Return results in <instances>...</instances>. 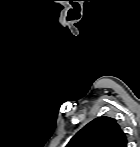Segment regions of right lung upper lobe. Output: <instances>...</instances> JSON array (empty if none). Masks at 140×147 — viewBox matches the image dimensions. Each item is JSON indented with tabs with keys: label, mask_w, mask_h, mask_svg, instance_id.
Wrapping results in <instances>:
<instances>
[{
	"label": "right lung upper lobe",
	"mask_w": 140,
	"mask_h": 147,
	"mask_svg": "<svg viewBox=\"0 0 140 147\" xmlns=\"http://www.w3.org/2000/svg\"><path fill=\"white\" fill-rule=\"evenodd\" d=\"M67 147H127V138L115 119L102 116L83 127Z\"/></svg>",
	"instance_id": "1"
}]
</instances>
